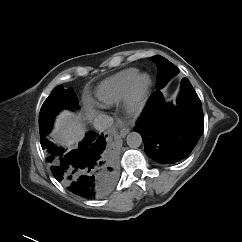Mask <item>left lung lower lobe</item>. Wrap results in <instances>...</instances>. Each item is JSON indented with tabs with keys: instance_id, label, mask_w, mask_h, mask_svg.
<instances>
[{
	"instance_id": "obj_1",
	"label": "left lung lower lobe",
	"mask_w": 242,
	"mask_h": 242,
	"mask_svg": "<svg viewBox=\"0 0 242 242\" xmlns=\"http://www.w3.org/2000/svg\"><path fill=\"white\" fill-rule=\"evenodd\" d=\"M182 95L177 106L166 104L157 88L134 130L145 146V153L161 164L184 160L193 150L204 130L201 101L188 79H182Z\"/></svg>"
}]
</instances>
